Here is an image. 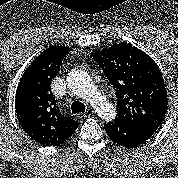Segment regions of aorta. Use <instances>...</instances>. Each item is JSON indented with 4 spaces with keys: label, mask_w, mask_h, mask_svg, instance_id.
I'll return each instance as SVG.
<instances>
[{
    "label": "aorta",
    "mask_w": 178,
    "mask_h": 178,
    "mask_svg": "<svg viewBox=\"0 0 178 178\" xmlns=\"http://www.w3.org/2000/svg\"><path fill=\"white\" fill-rule=\"evenodd\" d=\"M69 89L77 96L87 98L96 113L106 121H111L116 116L115 107L99 93L91 77L82 70H75L67 77Z\"/></svg>",
    "instance_id": "aorta-1"
}]
</instances>
